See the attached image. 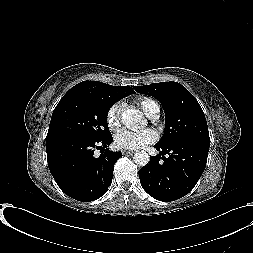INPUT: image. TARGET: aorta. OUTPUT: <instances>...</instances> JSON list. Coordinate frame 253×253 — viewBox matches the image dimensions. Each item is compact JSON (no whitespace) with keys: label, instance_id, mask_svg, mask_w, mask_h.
I'll return each mask as SVG.
<instances>
[{"label":"aorta","instance_id":"762f6f07","mask_svg":"<svg viewBox=\"0 0 253 253\" xmlns=\"http://www.w3.org/2000/svg\"><path fill=\"white\" fill-rule=\"evenodd\" d=\"M121 121L131 130H139L146 125V120L136 109H126L121 115ZM133 161L139 166H146L150 161V156L145 151H137L133 156Z\"/></svg>","mask_w":253,"mask_h":253}]
</instances>
